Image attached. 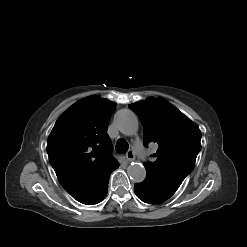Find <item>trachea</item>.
<instances>
[{
	"mask_svg": "<svg viewBox=\"0 0 247 247\" xmlns=\"http://www.w3.org/2000/svg\"><path fill=\"white\" fill-rule=\"evenodd\" d=\"M129 148V145L126 140L124 139H119L117 144H116V151L120 154H124L127 152Z\"/></svg>",
	"mask_w": 247,
	"mask_h": 247,
	"instance_id": "3493384b",
	"label": "trachea"
}]
</instances>
